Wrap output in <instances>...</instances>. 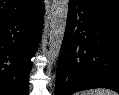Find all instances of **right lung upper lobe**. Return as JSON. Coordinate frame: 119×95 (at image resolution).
<instances>
[{"mask_svg": "<svg viewBox=\"0 0 119 95\" xmlns=\"http://www.w3.org/2000/svg\"><path fill=\"white\" fill-rule=\"evenodd\" d=\"M41 0H0V23L34 8Z\"/></svg>", "mask_w": 119, "mask_h": 95, "instance_id": "cb5924a9", "label": "right lung upper lobe"}]
</instances>
